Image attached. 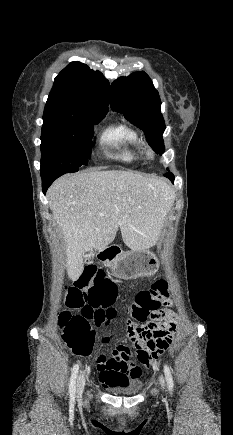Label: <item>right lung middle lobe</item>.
I'll list each match as a JSON object with an SVG mask.
<instances>
[{
	"mask_svg": "<svg viewBox=\"0 0 233 435\" xmlns=\"http://www.w3.org/2000/svg\"><path fill=\"white\" fill-rule=\"evenodd\" d=\"M43 119L41 135V176L77 172L91 155L93 125L104 117Z\"/></svg>",
	"mask_w": 233,
	"mask_h": 435,
	"instance_id": "dd1d6c3e",
	"label": "right lung middle lobe"
}]
</instances>
